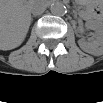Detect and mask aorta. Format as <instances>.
Instances as JSON below:
<instances>
[{
  "label": "aorta",
  "mask_w": 103,
  "mask_h": 103,
  "mask_svg": "<svg viewBox=\"0 0 103 103\" xmlns=\"http://www.w3.org/2000/svg\"><path fill=\"white\" fill-rule=\"evenodd\" d=\"M66 6L62 2H54L51 4L50 11L54 15H64L66 13Z\"/></svg>",
  "instance_id": "762f6f07"
}]
</instances>
